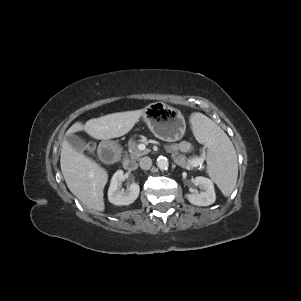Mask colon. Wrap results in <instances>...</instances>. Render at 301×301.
I'll list each match as a JSON object with an SVG mask.
<instances>
[{
	"label": "colon",
	"instance_id": "5ec220e1",
	"mask_svg": "<svg viewBox=\"0 0 301 301\" xmlns=\"http://www.w3.org/2000/svg\"><path fill=\"white\" fill-rule=\"evenodd\" d=\"M93 148H94V146H93L92 144H89V145H88V149H89L90 151H92Z\"/></svg>",
	"mask_w": 301,
	"mask_h": 301
}]
</instances>
